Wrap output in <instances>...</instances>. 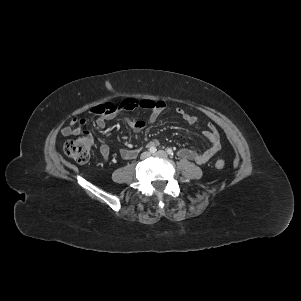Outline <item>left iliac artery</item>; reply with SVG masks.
Listing matches in <instances>:
<instances>
[{
	"mask_svg": "<svg viewBox=\"0 0 301 301\" xmlns=\"http://www.w3.org/2000/svg\"><path fill=\"white\" fill-rule=\"evenodd\" d=\"M166 151H167V153H168L170 156H173V155H174V153H173V151H172L171 148H168Z\"/></svg>",
	"mask_w": 301,
	"mask_h": 301,
	"instance_id": "44dca946",
	"label": "left iliac artery"
}]
</instances>
